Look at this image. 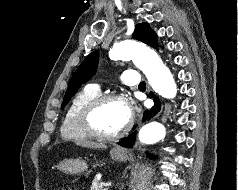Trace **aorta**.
<instances>
[{"label": "aorta", "instance_id": "aorta-1", "mask_svg": "<svg viewBox=\"0 0 238 190\" xmlns=\"http://www.w3.org/2000/svg\"><path fill=\"white\" fill-rule=\"evenodd\" d=\"M109 56L114 60H132L146 75L148 83L156 93L168 99L176 96L177 87L170 70L157 53L145 44L134 40H123L114 44ZM165 135L164 125L152 121L141 128L139 140L143 144H154L163 140Z\"/></svg>", "mask_w": 238, "mask_h": 190}]
</instances>
